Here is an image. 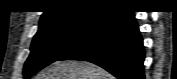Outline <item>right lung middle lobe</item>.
I'll use <instances>...</instances> for the list:
<instances>
[{
  "instance_id": "obj_1",
  "label": "right lung middle lobe",
  "mask_w": 177,
  "mask_h": 79,
  "mask_svg": "<svg viewBox=\"0 0 177 79\" xmlns=\"http://www.w3.org/2000/svg\"><path fill=\"white\" fill-rule=\"evenodd\" d=\"M102 15L56 21L39 27L31 45V53L24 66L25 79L57 61L79 44L99 23Z\"/></svg>"
}]
</instances>
